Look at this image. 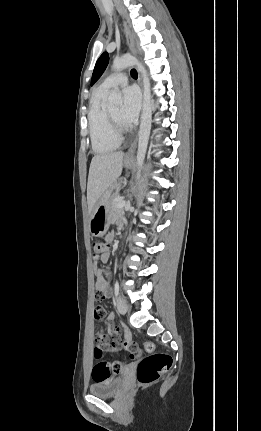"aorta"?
I'll return each mask as SVG.
<instances>
[{"label": "aorta", "instance_id": "aorta-1", "mask_svg": "<svg viewBox=\"0 0 261 431\" xmlns=\"http://www.w3.org/2000/svg\"><path fill=\"white\" fill-rule=\"evenodd\" d=\"M136 66L137 70L142 75L143 80V110L141 116V124L139 131L138 150H137V174L136 179L139 180L147 151V145L151 129L152 121V100L150 80L145 67L138 62L134 57L125 55L120 58H115L112 64L114 71H121L125 68ZM122 101L121 92L119 90H111L108 94V104L110 106H118Z\"/></svg>", "mask_w": 261, "mask_h": 431}]
</instances>
